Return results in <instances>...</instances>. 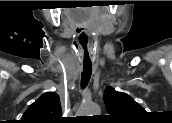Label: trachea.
Masks as SVG:
<instances>
[{
	"label": "trachea",
	"instance_id": "3493384b",
	"mask_svg": "<svg viewBox=\"0 0 172 123\" xmlns=\"http://www.w3.org/2000/svg\"><path fill=\"white\" fill-rule=\"evenodd\" d=\"M88 56V52L85 54ZM91 75H92V63H85L84 66H83V72L81 74V85L82 87H85L90 78H91Z\"/></svg>",
	"mask_w": 172,
	"mask_h": 123
}]
</instances>
